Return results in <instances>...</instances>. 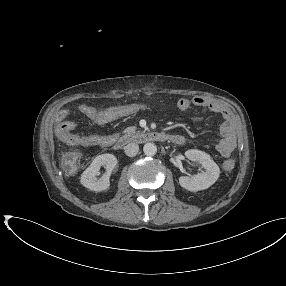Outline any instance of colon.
Here are the masks:
<instances>
[{
  "label": "colon",
  "instance_id": "colon-1",
  "mask_svg": "<svg viewBox=\"0 0 286 286\" xmlns=\"http://www.w3.org/2000/svg\"><path fill=\"white\" fill-rule=\"evenodd\" d=\"M79 162H80V155L76 151H68L62 157V163L65 166V168L68 170L75 169L78 166ZM224 166L227 170H230L234 166V161L228 160L226 161Z\"/></svg>",
  "mask_w": 286,
  "mask_h": 286
}]
</instances>
